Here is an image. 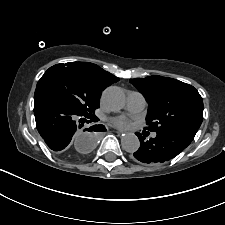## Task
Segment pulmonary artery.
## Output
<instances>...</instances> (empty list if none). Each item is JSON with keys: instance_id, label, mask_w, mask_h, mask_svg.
Listing matches in <instances>:
<instances>
[{"instance_id": "pulmonary-artery-1", "label": "pulmonary artery", "mask_w": 225, "mask_h": 225, "mask_svg": "<svg viewBox=\"0 0 225 225\" xmlns=\"http://www.w3.org/2000/svg\"><path fill=\"white\" fill-rule=\"evenodd\" d=\"M146 106L145 97L137 91H129L127 95V105L126 109L130 112H139L143 110ZM156 133L152 134L155 137Z\"/></svg>"}]
</instances>
